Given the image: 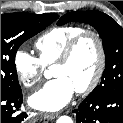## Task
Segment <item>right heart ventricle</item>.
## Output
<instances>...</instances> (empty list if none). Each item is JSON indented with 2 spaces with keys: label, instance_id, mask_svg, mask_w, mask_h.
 <instances>
[{
  "label": "right heart ventricle",
  "instance_id": "1",
  "mask_svg": "<svg viewBox=\"0 0 123 123\" xmlns=\"http://www.w3.org/2000/svg\"><path fill=\"white\" fill-rule=\"evenodd\" d=\"M84 29L77 25L53 27L44 32L35 42L38 58L43 65L55 63L68 42Z\"/></svg>",
  "mask_w": 123,
  "mask_h": 123
}]
</instances>
